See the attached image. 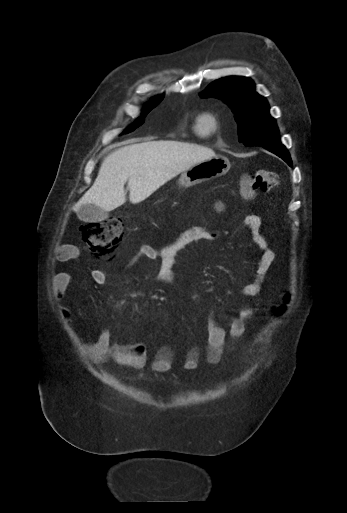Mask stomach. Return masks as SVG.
I'll return each mask as SVG.
<instances>
[{
    "mask_svg": "<svg viewBox=\"0 0 347 513\" xmlns=\"http://www.w3.org/2000/svg\"><path fill=\"white\" fill-rule=\"evenodd\" d=\"M231 167L229 160L221 155L197 163L181 173V186H194L225 174Z\"/></svg>",
    "mask_w": 347,
    "mask_h": 513,
    "instance_id": "0dacf381",
    "label": "stomach"
}]
</instances>
